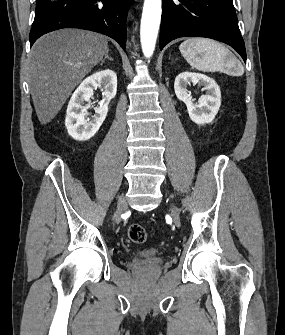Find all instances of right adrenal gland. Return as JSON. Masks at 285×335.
I'll use <instances>...</instances> for the list:
<instances>
[{
    "mask_svg": "<svg viewBox=\"0 0 285 335\" xmlns=\"http://www.w3.org/2000/svg\"><path fill=\"white\" fill-rule=\"evenodd\" d=\"M106 60H111V62H112L113 58H109L108 54H105V58H104V60H101L100 66H103V64H104V62H106Z\"/></svg>",
    "mask_w": 285,
    "mask_h": 335,
    "instance_id": "1",
    "label": "right adrenal gland"
}]
</instances>
